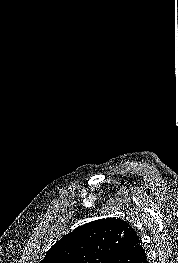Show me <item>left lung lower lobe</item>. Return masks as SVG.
<instances>
[{
    "instance_id": "0a47b994",
    "label": "left lung lower lobe",
    "mask_w": 178,
    "mask_h": 263,
    "mask_svg": "<svg viewBox=\"0 0 178 263\" xmlns=\"http://www.w3.org/2000/svg\"><path fill=\"white\" fill-rule=\"evenodd\" d=\"M109 263H148L136 232L131 229L123 245Z\"/></svg>"
}]
</instances>
